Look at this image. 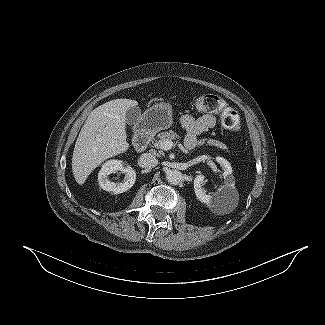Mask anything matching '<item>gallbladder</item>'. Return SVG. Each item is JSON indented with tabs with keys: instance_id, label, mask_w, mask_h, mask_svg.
Instances as JSON below:
<instances>
[{
	"instance_id": "1",
	"label": "gallbladder",
	"mask_w": 325,
	"mask_h": 325,
	"mask_svg": "<svg viewBox=\"0 0 325 325\" xmlns=\"http://www.w3.org/2000/svg\"><path fill=\"white\" fill-rule=\"evenodd\" d=\"M140 115H141V110L139 109V107L136 106L131 107L126 112V116H125L126 122L131 125L135 124L139 120Z\"/></svg>"
}]
</instances>
